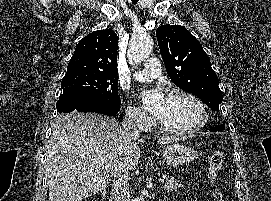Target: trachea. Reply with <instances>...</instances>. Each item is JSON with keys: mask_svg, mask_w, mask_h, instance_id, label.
<instances>
[{"mask_svg": "<svg viewBox=\"0 0 271 201\" xmlns=\"http://www.w3.org/2000/svg\"><path fill=\"white\" fill-rule=\"evenodd\" d=\"M132 2H133V3H137V2H138V0H132Z\"/></svg>", "mask_w": 271, "mask_h": 201, "instance_id": "trachea-1", "label": "trachea"}]
</instances>
